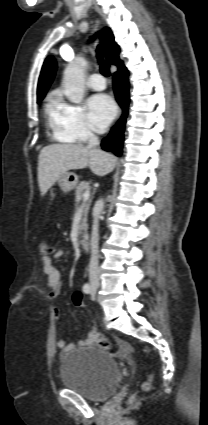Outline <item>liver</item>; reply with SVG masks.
<instances>
[{"label":"liver","mask_w":208,"mask_h":425,"mask_svg":"<svg viewBox=\"0 0 208 425\" xmlns=\"http://www.w3.org/2000/svg\"><path fill=\"white\" fill-rule=\"evenodd\" d=\"M116 158L99 149L74 144H51L40 151L38 157V183L44 196L53 184L69 170L90 167L97 176L110 173Z\"/></svg>","instance_id":"liver-1"}]
</instances>
